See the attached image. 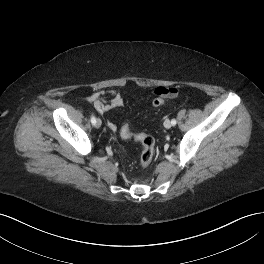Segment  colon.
Returning a JSON list of instances; mask_svg holds the SVG:
<instances>
[{
	"instance_id": "5ec220e1",
	"label": "colon",
	"mask_w": 264,
	"mask_h": 264,
	"mask_svg": "<svg viewBox=\"0 0 264 264\" xmlns=\"http://www.w3.org/2000/svg\"><path fill=\"white\" fill-rule=\"evenodd\" d=\"M164 103L162 98H154L152 101L153 106L158 107ZM120 135L123 139L135 140L142 145V151L139 158V166L146 168L151 163L155 153V139L145 133H132L129 126L123 125L120 131Z\"/></svg>"
}]
</instances>
